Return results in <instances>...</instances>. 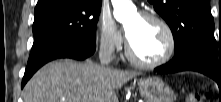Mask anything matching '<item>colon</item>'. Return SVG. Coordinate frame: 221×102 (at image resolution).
Instances as JSON below:
<instances>
[{"mask_svg": "<svg viewBox=\"0 0 221 102\" xmlns=\"http://www.w3.org/2000/svg\"><path fill=\"white\" fill-rule=\"evenodd\" d=\"M186 102H202V98L197 93H189Z\"/></svg>", "mask_w": 221, "mask_h": 102, "instance_id": "5ec220e1", "label": "colon"}]
</instances>
